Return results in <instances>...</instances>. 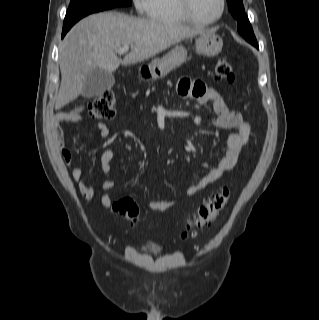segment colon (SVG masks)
<instances>
[{"instance_id": "obj_1", "label": "colon", "mask_w": 319, "mask_h": 320, "mask_svg": "<svg viewBox=\"0 0 319 320\" xmlns=\"http://www.w3.org/2000/svg\"><path fill=\"white\" fill-rule=\"evenodd\" d=\"M214 76L217 80L231 82L234 73L226 57H219L215 66ZM87 113L96 119L111 120L116 115L115 96L111 91H105L90 99ZM230 197L228 188H223L211 194L198 210L187 219L184 236L193 235L197 230L212 226L219 215L226 209ZM113 209L124 215L131 222L141 219V211L135 200L129 197L118 199L113 204Z\"/></svg>"}]
</instances>
